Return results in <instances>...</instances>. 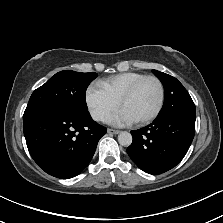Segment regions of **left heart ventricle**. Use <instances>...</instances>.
<instances>
[{
    "instance_id": "b2bd125f",
    "label": "left heart ventricle",
    "mask_w": 223,
    "mask_h": 223,
    "mask_svg": "<svg viewBox=\"0 0 223 223\" xmlns=\"http://www.w3.org/2000/svg\"><path fill=\"white\" fill-rule=\"evenodd\" d=\"M158 86L155 81L144 82L136 93L122 103L124 109L134 120L149 116L158 102Z\"/></svg>"
}]
</instances>
